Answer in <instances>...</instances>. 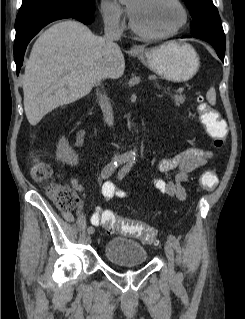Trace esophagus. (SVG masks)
I'll return each mask as SVG.
<instances>
[{
	"label": "esophagus",
	"instance_id": "esophagus-1",
	"mask_svg": "<svg viewBox=\"0 0 245 319\" xmlns=\"http://www.w3.org/2000/svg\"><path fill=\"white\" fill-rule=\"evenodd\" d=\"M131 51L132 52H139V51H141V47L137 46V45H134V46L131 47Z\"/></svg>",
	"mask_w": 245,
	"mask_h": 319
}]
</instances>
